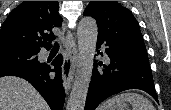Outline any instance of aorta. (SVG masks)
Returning a JSON list of instances; mask_svg holds the SVG:
<instances>
[{
	"mask_svg": "<svg viewBox=\"0 0 171 110\" xmlns=\"http://www.w3.org/2000/svg\"><path fill=\"white\" fill-rule=\"evenodd\" d=\"M98 28L96 20L84 17L77 29L79 58L66 110H84L92 77Z\"/></svg>",
	"mask_w": 171,
	"mask_h": 110,
	"instance_id": "762f6f07",
	"label": "aorta"
}]
</instances>
